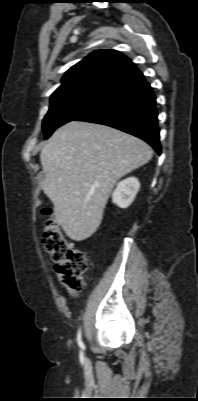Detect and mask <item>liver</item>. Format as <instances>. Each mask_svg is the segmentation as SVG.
Wrapping results in <instances>:
<instances>
[{"label": "liver", "instance_id": "6515ba94", "mask_svg": "<svg viewBox=\"0 0 198 401\" xmlns=\"http://www.w3.org/2000/svg\"><path fill=\"white\" fill-rule=\"evenodd\" d=\"M152 155L143 140L105 125L71 121L58 128L40 153L42 189L56 223L72 240L91 237L116 182Z\"/></svg>", "mask_w": 198, "mask_h": 401}]
</instances>
